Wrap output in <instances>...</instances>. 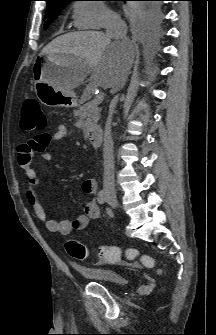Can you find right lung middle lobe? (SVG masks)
Returning <instances> with one entry per match:
<instances>
[{
    "mask_svg": "<svg viewBox=\"0 0 216 335\" xmlns=\"http://www.w3.org/2000/svg\"><path fill=\"white\" fill-rule=\"evenodd\" d=\"M70 2H60L47 5L46 15L47 21L45 22V29L57 17L61 10ZM141 19L145 26H156L161 20L160 3L150 2L143 5L140 9Z\"/></svg>",
    "mask_w": 216,
    "mask_h": 335,
    "instance_id": "obj_1",
    "label": "right lung middle lobe"
}]
</instances>
